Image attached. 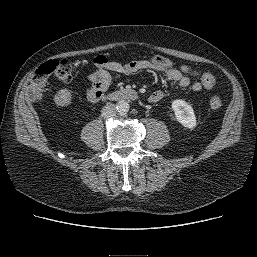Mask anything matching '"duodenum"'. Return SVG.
Returning a JSON list of instances; mask_svg holds the SVG:
<instances>
[{"instance_id": "obj_1", "label": "duodenum", "mask_w": 257, "mask_h": 257, "mask_svg": "<svg viewBox=\"0 0 257 257\" xmlns=\"http://www.w3.org/2000/svg\"><path fill=\"white\" fill-rule=\"evenodd\" d=\"M137 96V92L133 89H122L108 95H103L102 100L106 102L112 100H135Z\"/></svg>"}]
</instances>
